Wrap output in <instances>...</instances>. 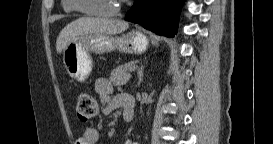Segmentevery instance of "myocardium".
<instances>
[{
	"label": "myocardium",
	"instance_id": "obj_1",
	"mask_svg": "<svg viewBox=\"0 0 273 144\" xmlns=\"http://www.w3.org/2000/svg\"><path fill=\"white\" fill-rule=\"evenodd\" d=\"M72 6L75 11H78L84 15L91 16H112L119 12L120 5L117 4L111 10H91L83 6V0H72Z\"/></svg>",
	"mask_w": 273,
	"mask_h": 144
}]
</instances>
